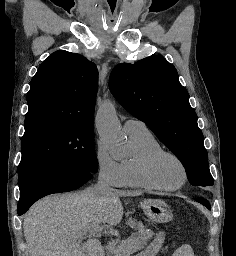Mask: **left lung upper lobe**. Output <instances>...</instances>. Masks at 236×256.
<instances>
[{
	"mask_svg": "<svg viewBox=\"0 0 236 256\" xmlns=\"http://www.w3.org/2000/svg\"><path fill=\"white\" fill-rule=\"evenodd\" d=\"M109 87L118 102L179 158L191 185H213L197 115L172 64L159 55L119 64L111 72Z\"/></svg>",
	"mask_w": 236,
	"mask_h": 256,
	"instance_id": "1",
	"label": "left lung upper lobe"
}]
</instances>
